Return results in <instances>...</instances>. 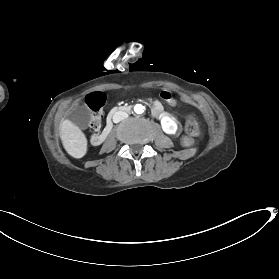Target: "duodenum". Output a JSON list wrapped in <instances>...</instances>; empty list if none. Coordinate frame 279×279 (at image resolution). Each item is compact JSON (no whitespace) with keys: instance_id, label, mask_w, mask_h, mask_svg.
<instances>
[{"instance_id":"1","label":"duodenum","mask_w":279,"mask_h":279,"mask_svg":"<svg viewBox=\"0 0 279 279\" xmlns=\"http://www.w3.org/2000/svg\"><path fill=\"white\" fill-rule=\"evenodd\" d=\"M119 110L129 113L131 111V108L125 104H121L120 106L115 105L106 117V126L103 128L101 137L99 138V134L97 132H94L92 134L91 140L94 145L100 146L105 142V139L108 137V134L111 131V128L113 127V120L115 118V115L119 112Z\"/></svg>"}]
</instances>
